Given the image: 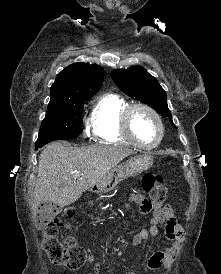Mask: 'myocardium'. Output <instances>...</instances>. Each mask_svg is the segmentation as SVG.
<instances>
[{
    "label": "myocardium",
    "instance_id": "1",
    "mask_svg": "<svg viewBox=\"0 0 221 274\" xmlns=\"http://www.w3.org/2000/svg\"><path fill=\"white\" fill-rule=\"evenodd\" d=\"M137 109H142V110L147 111L149 114H151L153 116V118L157 122V125L159 128V136H158V139L156 140V142H154L153 144H150V145L143 144L140 141H138L133 134L132 127H131V119H132V115H133L134 111H136ZM122 130H123L124 135L131 141V143L133 145H135L138 148L145 149V150H150V149L156 148L161 143V141L163 140V137H164V125H163L160 115L153 107H151L150 105L145 104V103H131L125 109V111L123 112V115H122Z\"/></svg>",
    "mask_w": 221,
    "mask_h": 274
}]
</instances>
